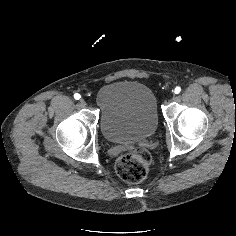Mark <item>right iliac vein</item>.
<instances>
[{"mask_svg": "<svg viewBox=\"0 0 236 236\" xmlns=\"http://www.w3.org/2000/svg\"><path fill=\"white\" fill-rule=\"evenodd\" d=\"M80 104H81L82 106H85V105H86L85 100L81 98V99H80Z\"/></svg>", "mask_w": 236, "mask_h": 236, "instance_id": "right-iliac-vein-1", "label": "right iliac vein"}]
</instances>
